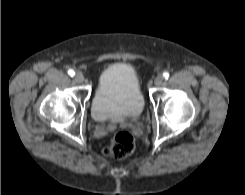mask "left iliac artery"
Masks as SVG:
<instances>
[{"instance_id": "obj_1", "label": "left iliac artery", "mask_w": 245, "mask_h": 195, "mask_svg": "<svg viewBox=\"0 0 245 195\" xmlns=\"http://www.w3.org/2000/svg\"><path fill=\"white\" fill-rule=\"evenodd\" d=\"M163 76H164V78L168 79L169 78V73L168 72H164Z\"/></svg>"}]
</instances>
